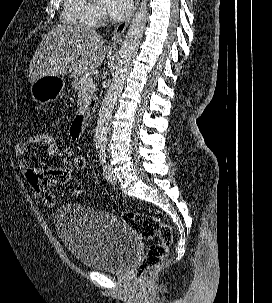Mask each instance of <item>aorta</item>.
Masks as SVG:
<instances>
[{"label":"aorta","instance_id":"762f6f07","mask_svg":"<svg viewBox=\"0 0 272 303\" xmlns=\"http://www.w3.org/2000/svg\"><path fill=\"white\" fill-rule=\"evenodd\" d=\"M147 0H142L122 42L112 83L102 101L95 129V143L104 146L113 108L120 96L147 23Z\"/></svg>","mask_w":272,"mask_h":303}]
</instances>
